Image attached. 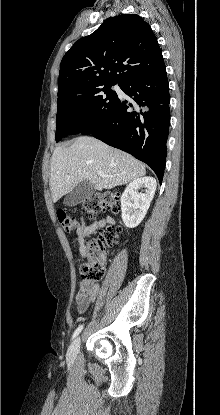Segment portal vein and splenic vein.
Wrapping results in <instances>:
<instances>
[{"label": "portal vein and splenic vein", "mask_w": 220, "mask_h": 415, "mask_svg": "<svg viewBox=\"0 0 220 415\" xmlns=\"http://www.w3.org/2000/svg\"><path fill=\"white\" fill-rule=\"evenodd\" d=\"M97 174H98L99 176H102V177H104V176H105V174H104L102 171H98V172H97Z\"/></svg>", "instance_id": "portal-vein-and-splenic-vein-1"}]
</instances>
